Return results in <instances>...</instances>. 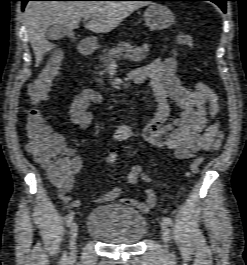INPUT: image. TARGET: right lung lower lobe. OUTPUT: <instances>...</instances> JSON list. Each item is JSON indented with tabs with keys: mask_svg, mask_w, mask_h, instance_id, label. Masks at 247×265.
<instances>
[{
	"mask_svg": "<svg viewBox=\"0 0 247 265\" xmlns=\"http://www.w3.org/2000/svg\"><path fill=\"white\" fill-rule=\"evenodd\" d=\"M22 1V9H24L26 3L30 0H21ZM89 1H92V0H89Z\"/></svg>",
	"mask_w": 247,
	"mask_h": 265,
	"instance_id": "1",
	"label": "right lung lower lobe"
}]
</instances>
